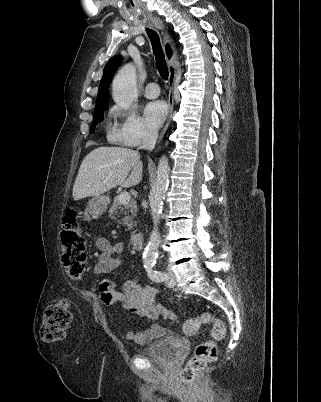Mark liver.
Listing matches in <instances>:
<instances>
[{
    "instance_id": "6515ba94",
    "label": "liver",
    "mask_w": 321,
    "mask_h": 402,
    "mask_svg": "<svg viewBox=\"0 0 321 402\" xmlns=\"http://www.w3.org/2000/svg\"><path fill=\"white\" fill-rule=\"evenodd\" d=\"M138 151L124 147H98L82 161L73 186L74 200L100 196L119 185L132 187L142 180Z\"/></svg>"
}]
</instances>
